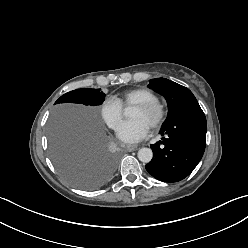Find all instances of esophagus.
<instances>
[{
	"mask_svg": "<svg viewBox=\"0 0 248 248\" xmlns=\"http://www.w3.org/2000/svg\"><path fill=\"white\" fill-rule=\"evenodd\" d=\"M137 149H138V146H135V145H127V146H125V150L128 151V152L135 151Z\"/></svg>",
	"mask_w": 248,
	"mask_h": 248,
	"instance_id": "1",
	"label": "esophagus"
}]
</instances>
